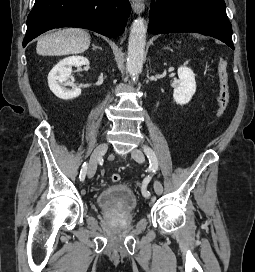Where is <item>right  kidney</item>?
<instances>
[{
  "instance_id": "1",
  "label": "right kidney",
  "mask_w": 255,
  "mask_h": 272,
  "mask_svg": "<svg viewBox=\"0 0 255 272\" xmlns=\"http://www.w3.org/2000/svg\"><path fill=\"white\" fill-rule=\"evenodd\" d=\"M83 65H89V60L83 56H71L59 61L48 74L50 90L60 99L70 100L78 97L81 94V89L68 79L73 66L81 67ZM66 86H70L72 89H67Z\"/></svg>"
}]
</instances>
